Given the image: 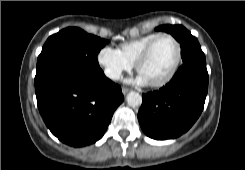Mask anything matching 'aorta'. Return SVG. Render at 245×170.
Masks as SVG:
<instances>
[{
    "label": "aorta",
    "mask_w": 245,
    "mask_h": 170,
    "mask_svg": "<svg viewBox=\"0 0 245 170\" xmlns=\"http://www.w3.org/2000/svg\"><path fill=\"white\" fill-rule=\"evenodd\" d=\"M126 101L129 106L137 107L142 104V96L137 92H129L126 97Z\"/></svg>",
    "instance_id": "obj_1"
}]
</instances>
